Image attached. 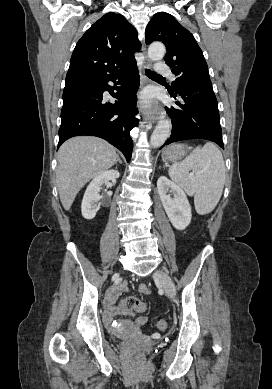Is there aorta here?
Instances as JSON below:
<instances>
[{"label": "aorta", "mask_w": 272, "mask_h": 389, "mask_svg": "<svg viewBox=\"0 0 272 389\" xmlns=\"http://www.w3.org/2000/svg\"><path fill=\"white\" fill-rule=\"evenodd\" d=\"M165 46L162 43H152L148 48V57L152 61L161 60L165 55ZM171 134V121L169 119H161L156 125L150 143L152 147H159L165 143Z\"/></svg>", "instance_id": "762f6f07"}]
</instances>
